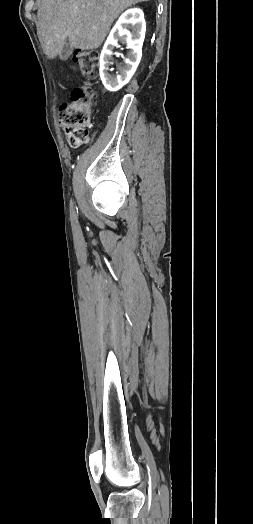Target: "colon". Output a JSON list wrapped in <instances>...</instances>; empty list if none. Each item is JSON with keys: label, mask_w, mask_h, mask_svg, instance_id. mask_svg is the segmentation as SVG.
<instances>
[{"label": "colon", "mask_w": 253, "mask_h": 524, "mask_svg": "<svg viewBox=\"0 0 253 524\" xmlns=\"http://www.w3.org/2000/svg\"><path fill=\"white\" fill-rule=\"evenodd\" d=\"M98 50H79L74 59L81 74L92 78L99 62ZM93 90L89 85L76 88L70 98L64 102L59 111V125L71 147H80L89 142L91 122V100Z\"/></svg>", "instance_id": "colon-1"}]
</instances>
